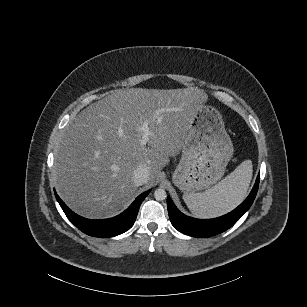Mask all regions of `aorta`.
I'll return each mask as SVG.
<instances>
[{
    "label": "aorta",
    "mask_w": 307,
    "mask_h": 307,
    "mask_svg": "<svg viewBox=\"0 0 307 307\" xmlns=\"http://www.w3.org/2000/svg\"><path fill=\"white\" fill-rule=\"evenodd\" d=\"M166 191L164 189H156L154 192V197L157 201H162L164 199H166Z\"/></svg>",
    "instance_id": "762f6f07"
}]
</instances>
